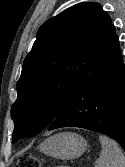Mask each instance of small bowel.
Wrapping results in <instances>:
<instances>
[{"mask_svg":"<svg viewBox=\"0 0 125 167\" xmlns=\"http://www.w3.org/2000/svg\"><path fill=\"white\" fill-rule=\"evenodd\" d=\"M58 167H68V166H58Z\"/></svg>","mask_w":125,"mask_h":167,"instance_id":"c3829d8e","label":"small bowel"}]
</instances>
